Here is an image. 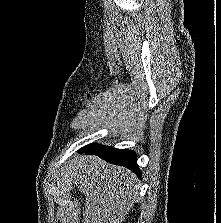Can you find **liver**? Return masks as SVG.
I'll return each mask as SVG.
<instances>
[{"label": "liver", "mask_w": 221, "mask_h": 223, "mask_svg": "<svg viewBox=\"0 0 221 223\" xmlns=\"http://www.w3.org/2000/svg\"><path fill=\"white\" fill-rule=\"evenodd\" d=\"M75 185L85 195L83 223H122L138 197L139 184L128 169L98 156L71 161Z\"/></svg>", "instance_id": "obj_1"}]
</instances>
